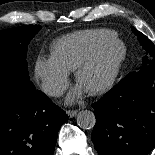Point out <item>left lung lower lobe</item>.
I'll use <instances>...</instances> for the list:
<instances>
[{"label": "left lung lower lobe", "mask_w": 155, "mask_h": 155, "mask_svg": "<svg viewBox=\"0 0 155 155\" xmlns=\"http://www.w3.org/2000/svg\"><path fill=\"white\" fill-rule=\"evenodd\" d=\"M100 155H147L155 147V67L129 73L94 103Z\"/></svg>", "instance_id": "0a47b994"}]
</instances>
